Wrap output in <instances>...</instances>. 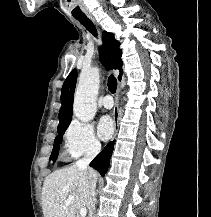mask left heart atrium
Masks as SVG:
<instances>
[{
	"label": "left heart atrium",
	"instance_id": "obj_1",
	"mask_svg": "<svg viewBox=\"0 0 211 217\" xmlns=\"http://www.w3.org/2000/svg\"><path fill=\"white\" fill-rule=\"evenodd\" d=\"M114 131L112 119L109 116H103L98 123V134L102 140H108Z\"/></svg>",
	"mask_w": 211,
	"mask_h": 217
}]
</instances>
